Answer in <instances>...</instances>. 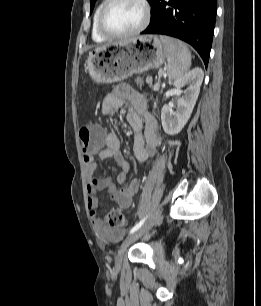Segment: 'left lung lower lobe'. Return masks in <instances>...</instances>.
<instances>
[{
    "label": "left lung lower lobe",
    "mask_w": 261,
    "mask_h": 306,
    "mask_svg": "<svg viewBox=\"0 0 261 306\" xmlns=\"http://www.w3.org/2000/svg\"><path fill=\"white\" fill-rule=\"evenodd\" d=\"M150 25L141 34H163L189 43L207 67L217 0H153Z\"/></svg>",
    "instance_id": "1"
}]
</instances>
